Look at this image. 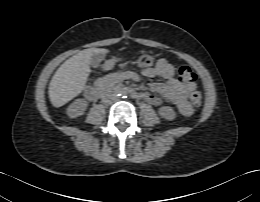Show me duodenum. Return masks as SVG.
<instances>
[{
    "label": "duodenum",
    "mask_w": 260,
    "mask_h": 202,
    "mask_svg": "<svg viewBox=\"0 0 260 202\" xmlns=\"http://www.w3.org/2000/svg\"><path fill=\"white\" fill-rule=\"evenodd\" d=\"M113 90L115 92L123 91L126 94L131 95L132 97H138V93L131 88L117 87L114 83L109 81L98 82L95 87H88L84 90V95L89 100H95L99 95L103 94L106 91Z\"/></svg>",
    "instance_id": "410a0bca"
}]
</instances>
